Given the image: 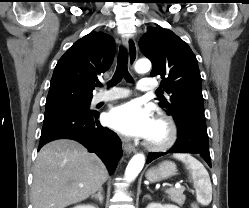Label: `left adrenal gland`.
Returning a JSON list of instances; mask_svg holds the SVG:
<instances>
[{
  "instance_id": "left-adrenal-gland-1",
  "label": "left adrenal gland",
  "mask_w": 249,
  "mask_h": 208,
  "mask_svg": "<svg viewBox=\"0 0 249 208\" xmlns=\"http://www.w3.org/2000/svg\"><path fill=\"white\" fill-rule=\"evenodd\" d=\"M144 198L151 199V196L149 194L145 195Z\"/></svg>"
}]
</instances>
